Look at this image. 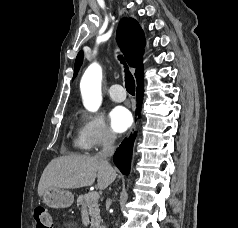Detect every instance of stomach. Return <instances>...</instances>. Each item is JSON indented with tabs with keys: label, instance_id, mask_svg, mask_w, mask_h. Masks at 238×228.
I'll list each match as a JSON object with an SVG mask.
<instances>
[{
	"label": "stomach",
	"instance_id": "1",
	"mask_svg": "<svg viewBox=\"0 0 238 228\" xmlns=\"http://www.w3.org/2000/svg\"><path fill=\"white\" fill-rule=\"evenodd\" d=\"M44 203L52 208H65L72 205L74 196L70 191L48 188L43 194Z\"/></svg>",
	"mask_w": 238,
	"mask_h": 228
}]
</instances>
